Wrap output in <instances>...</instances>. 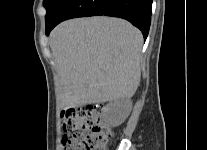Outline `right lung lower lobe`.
<instances>
[{"mask_svg":"<svg viewBox=\"0 0 207 150\" xmlns=\"http://www.w3.org/2000/svg\"><path fill=\"white\" fill-rule=\"evenodd\" d=\"M152 0H65L55 16L46 23V34L60 22L75 18L105 15L128 20L147 38Z\"/></svg>","mask_w":207,"mask_h":150,"instance_id":"right-lung-lower-lobe-1","label":"right lung lower lobe"}]
</instances>
